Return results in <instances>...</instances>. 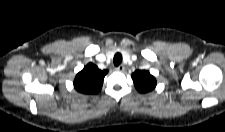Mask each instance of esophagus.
Returning <instances> with one entry per match:
<instances>
[{"label": "esophagus", "instance_id": "obj_1", "mask_svg": "<svg viewBox=\"0 0 225 132\" xmlns=\"http://www.w3.org/2000/svg\"><path fill=\"white\" fill-rule=\"evenodd\" d=\"M124 70H125L124 65H119V66L116 68V71H118V72H123Z\"/></svg>", "mask_w": 225, "mask_h": 132}]
</instances>
